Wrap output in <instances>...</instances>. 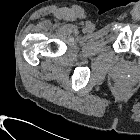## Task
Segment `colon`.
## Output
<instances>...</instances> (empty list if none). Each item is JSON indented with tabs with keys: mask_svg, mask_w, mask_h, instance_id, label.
I'll use <instances>...</instances> for the list:
<instances>
[{
	"mask_svg": "<svg viewBox=\"0 0 140 140\" xmlns=\"http://www.w3.org/2000/svg\"><path fill=\"white\" fill-rule=\"evenodd\" d=\"M130 86L125 81H120L115 85V92L119 95H125L129 92Z\"/></svg>",
	"mask_w": 140,
	"mask_h": 140,
	"instance_id": "colon-1",
	"label": "colon"
}]
</instances>
